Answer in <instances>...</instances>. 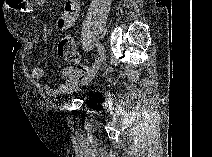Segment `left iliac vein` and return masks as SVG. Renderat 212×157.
<instances>
[{
    "mask_svg": "<svg viewBox=\"0 0 212 157\" xmlns=\"http://www.w3.org/2000/svg\"><path fill=\"white\" fill-rule=\"evenodd\" d=\"M106 60V55H101L98 60L96 61L95 65L93 66V68L91 69V71L89 72V74L87 75V77L85 78L84 82L82 83V85H87L88 83H90L92 81V79L96 76L98 70L101 68V66L104 65Z\"/></svg>",
    "mask_w": 212,
    "mask_h": 157,
    "instance_id": "obj_1",
    "label": "left iliac vein"
}]
</instances>
